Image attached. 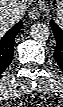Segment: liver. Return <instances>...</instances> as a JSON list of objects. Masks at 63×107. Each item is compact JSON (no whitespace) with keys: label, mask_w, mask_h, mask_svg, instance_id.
I'll use <instances>...</instances> for the list:
<instances>
[{"label":"liver","mask_w":63,"mask_h":107,"mask_svg":"<svg viewBox=\"0 0 63 107\" xmlns=\"http://www.w3.org/2000/svg\"><path fill=\"white\" fill-rule=\"evenodd\" d=\"M19 8H26V0H0V36H3L14 24L9 21L11 12Z\"/></svg>","instance_id":"6515ba94"}]
</instances>
